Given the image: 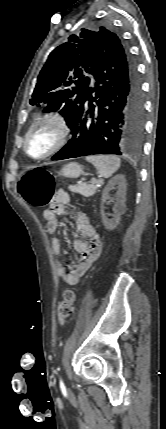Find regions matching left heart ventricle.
I'll list each match as a JSON object with an SVG mask.
<instances>
[{"instance_id":"1","label":"left heart ventricle","mask_w":166,"mask_h":429,"mask_svg":"<svg viewBox=\"0 0 166 429\" xmlns=\"http://www.w3.org/2000/svg\"><path fill=\"white\" fill-rule=\"evenodd\" d=\"M56 135V130L53 126L45 124L38 127L29 137V153L35 157L45 154L56 142Z\"/></svg>"}]
</instances>
